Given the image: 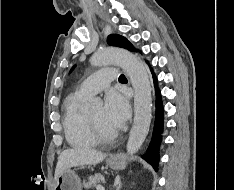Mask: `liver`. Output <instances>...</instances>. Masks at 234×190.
Segmentation results:
<instances>
[{
    "label": "liver",
    "mask_w": 234,
    "mask_h": 190,
    "mask_svg": "<svg viewBox=\"0 0 234 190\" xmlns=\"http://www.w3.org/2000/svg\"><path fill=\"white\" fill-rule=\"evenodd\" d=\"M105 157L106 154L92 149L76 148L64 150L58 157L55 180L66 169L79 165H95L102 162Z\"/></svg>",
    "instance_id": "liver-1"
}]
</instances>
